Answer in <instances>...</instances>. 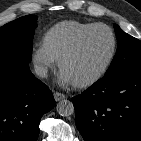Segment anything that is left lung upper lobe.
Listing matches in <instances>:
<instances>
[{"mask_svg":"<svg viewBox=\"0 0 141 141\" xmlns=\"http://www.w3.org/2000/svg\"><path fill=\"white\" fill-rule=\"evenodd\" d=\"M117 37V52L104 76L117 73L133 66H141V41L125 33L114 24Z\"/></svg>","mask_w":141,"mask_h":141,"instance_id":"5c2ea615","label":"left lung upper lobe"}]
</instances>
